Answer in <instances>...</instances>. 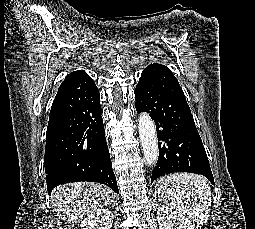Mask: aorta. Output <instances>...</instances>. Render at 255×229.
I'll return each instance as SVG.
<instances>
[{"label": "aorta", "mask_w": 255, "mask_h": 229, "mask_svg": "<svg viewBox=\"0 0 255 229\" xmlns=\"http://www.w3.org/2000/svg\"><path fill=\"white\" fill-rule=\"evenodd\" d=\"M138 122L144 158L148 166H153L158 159V141L155 123L147 113L140 114Z\"/></svg>", "instance_id": "1"}]
</instances>
